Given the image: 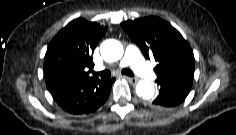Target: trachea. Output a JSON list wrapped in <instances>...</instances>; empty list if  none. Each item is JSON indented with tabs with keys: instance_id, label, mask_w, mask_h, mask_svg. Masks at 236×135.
I'll use <instances>...</instances> for the list:
<instances>
[{
	"instance_id": "1",
	"label": "trachea",
	"mask_w": 236,
	"mask_h": 135,
	"mask_svg": "<svg viewBox=\"0 0 236 135\" xmlns=\"http://www.w3.org/2000/svg\"><path fill=\"white\" fill-rule=\"evenodd\" d=\"M121 73L130 77L134 76L133 72L129 69H123ZM93 75L100 76L102 79H108L111 76V72L109 70H104L101 72H93Z\"/></svg>"
}]
</instances>
